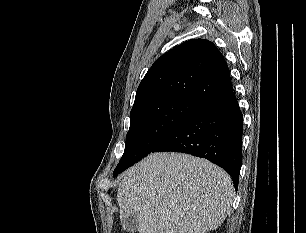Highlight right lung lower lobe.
I'll return each mask as SVG.
<instances>
[{
	"label": "right lung lower lobe",
	"mask_w": 306,
	"mask_h": 233,
	"mask_svg": "<svg viewBox=\"0 0 306 233\" xmlns=\"http://www.w3.org/2000/svg\"><path fill=\"white\" fill-rule=\"evenodd\" d=\"M243 115L233 90L203 105L152 152L202 157L222 167L237 190L242 164Z\"/></svg>",
	"instance_id": "1"
}]
</instances>
